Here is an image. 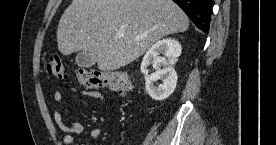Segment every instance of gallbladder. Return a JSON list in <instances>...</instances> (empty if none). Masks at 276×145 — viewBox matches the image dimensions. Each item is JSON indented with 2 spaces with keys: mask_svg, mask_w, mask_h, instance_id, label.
Instances as JSON below:
<instances>
[{
  "mask_svg": "<svg viewBox=\"0 0 276 145\" xmlns=\"http://www.w3.org/2000/svg\"><path fill=\"white\" fill-rule=\"evenodd\" d=\"M76 62L80 67L89 68L95 64V58L89 52L81 51L76 56Z\"/></svg>",
  "mask_w": 276,
  "mask_h": 145,
  "instance_id": "obj_1",
  "label": "gallbladder"
}]
</instances>
